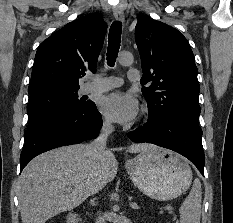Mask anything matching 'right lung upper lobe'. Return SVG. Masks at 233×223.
Here are the masks:
<instances>
[{
  "mask_svg": "<svg viewBox=\"0 0 233 223\" xmlns=\"http://www.w3.org/2000/svg\"><path fill=\"white\" fill-rule=\"evenodd\" d=\"M106 28L101 16L89 14L44 40L36 52L28 93L79 87L86 70L96 72Z\"/></svg>",
  "mask_w": 233,
  "mask_h": 223,
  "instance_id": "1",
  "label": "right lung upper lobe"
}]
</instances>
